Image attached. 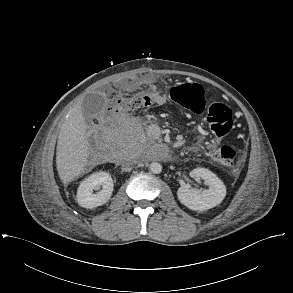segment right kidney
Wrapping results in <instances>:
<instances>
[{
    "label": "right kidney",
    "mask_w": 293,
    "mask_h": 293,
    "mask_svg": "<svg viewBox=\"0 0 293 293\" xmlns=\"http://www.w3.org/2000/svg\"><path fill=\"white\" fill-rule=\"evenodd\" d=\"M102 189L97 193L93 190ZM113 179L107 172L100 171L84 179L77 190V202L81 207L92 209L105 204L113 192Z\"/></svg>",
    "instance_id": "right-kidney-1"
}]
</instances>
